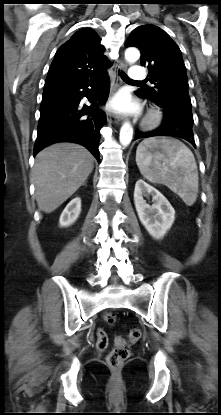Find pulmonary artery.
<instances>
[{
	"label": "pulmonary artery",
	"instance_id": "obj_1",
	"mask_svg": "<svg viewBox=\"0 0 221 415\" xmlns=\"http://www.w3.org/2000/svg\"><path fill=\"white\" fill-rule=\"evenodd\" d=\"M129 77L133 81H142L146 77L144 69L140 66H132L129 72Z\"/></svg>",
	"mask_w": 221,
	"mask_h": 415
}]
</instances>
